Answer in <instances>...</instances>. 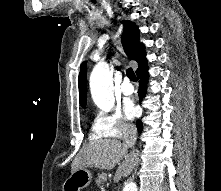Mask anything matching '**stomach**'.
<instances>
[{"instance_id": "obj_1", "label": "stomach", "mask_w": 221, "mask_h": 191, "mask_svg": "<svg viewBox=\"0 0 221 191\" xmlns=\"http://www.w3.org/2000/svg\"><path fill=\"white\" fill-rule=\"evenodd\" d=\"M91 181L92 174L88 169H78L72 172L69 178L64 181L62 191H80L86 188Z\"/></svg>"}]
</instances>
